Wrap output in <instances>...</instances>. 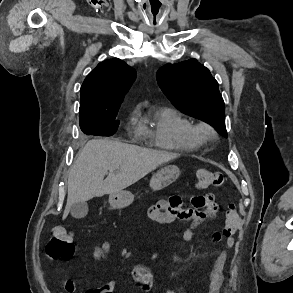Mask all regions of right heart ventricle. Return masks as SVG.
Segmentation results:
<instances>
[{
  "label": "right heart ventricle",
  "mask_w": 293,
  "mask_h": 293,
  "mask_svg": "<svg viewBox=\"0 0 293 293\" xmlns=\"http://www.w3.org/2000/svg\"><path fill=\"white\" fill-rule=\"evenodd\" d=\"M139 131L159 149L192 151L200 145L194 135L192 121L171 107L158 109L150 124L141 125Z\"/></svg>",
  "instance_id": "1"
}]
</instances>
